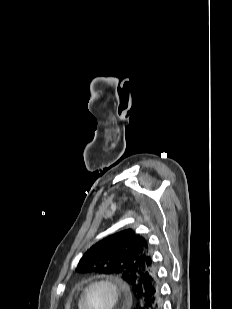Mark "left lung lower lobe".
<instances>
[{"mask_svg": "<svg viewBox=\"0 0 232 309\" xmlns=\"http://www.w3.org/2000/svg\"><path fill=\"white\" fill-rule=\"evenodd\" d=\"M138 309H162L163 299L160 284L155 277L144 299L138 303Z\"/></svg>", "mask_w": 232, "mask_h": 309, "instance_id": "obj_1", "label": "left lung lower lobe"}]
</instances>
